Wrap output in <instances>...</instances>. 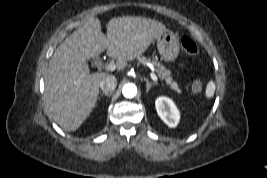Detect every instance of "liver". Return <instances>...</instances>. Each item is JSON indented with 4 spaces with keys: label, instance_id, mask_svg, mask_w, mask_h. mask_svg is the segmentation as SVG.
Here are the masks:
<instances>
[{
    "label": "liver",
    "instance_id": "6515ba94",
    "mask_svg": "<svg viewBox=\"0 0 267 178\" xmlns=\"http://www.w3.org/2000/svg\"><path fill=\"white\" fill-rule=\"evenodd\" d=\"M166 30L159 21L141 17H117L109 20L107 35L93 16L56 49L45 75L44 101L48 115L64 130L75 131L92 112L99 85L106 73H92L87 60L107 49L122 70L141 56Z\"/></svg>",
    "mask_w": 267,
    "mask_h": 178
}]
</instances>
